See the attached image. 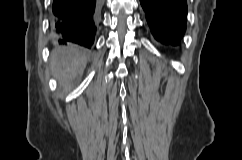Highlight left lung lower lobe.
I'll return each instance as SVG.
<instances>
[{"label": "left lung lower lobe", "mask_w": 242, "mask_h": 160, "mask_svg": "<svg viewBox=\"0 0 242 160\" xmlns=\"http://www.w3.org/2000/svg\"><path fill=\"white\" fill-rule=\"evenodd\" d=\"M140 2L153 36L164 44H179L186 30V0H140Z\"/></svg>", "instance_id": "0a47b994"}]
</instances>
